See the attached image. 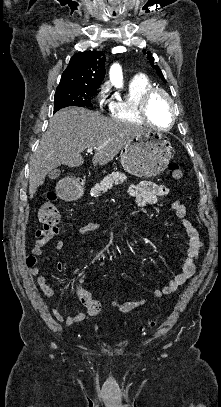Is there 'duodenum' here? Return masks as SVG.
<instances>
[{
    "instance_id": "duodenum-1",
    "label": "duodenum",
    "mask_w": 221,
    "mask_h": 407,
    "mask_svg": "<svg viewBox=\"0 0 221 407\" xmlns=\"http://www.w3.org/2000/svg\"><path fill=\"white\" fill-rule=\"evenodd\" d=\"M60 193L62 198L64 199H69L72 193V190L70 188H61Z\"/></svg>"
}]
</instances>
